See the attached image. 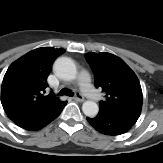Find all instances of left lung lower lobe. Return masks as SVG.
I'll use <instances>...</instances> for the list:
<instances>
[{
  "label": "left lung lower lobe",
  "instance_id": "1",
  "mask_svg": "<svg viewBox=\"0 0 163 163\" xmlns=\"http://www.w3.org/2000/svg\"><path fill=\"white\" fill-rule=\"evenodd\" d=\"M87 120L97 131L109 135L123 134L137 121L134 117L108 114H98Z\"/></svg>",
  "mask_w": 163,
  "mask_h": 163
}]
</instances>
